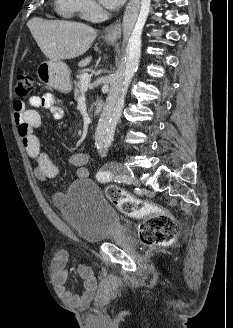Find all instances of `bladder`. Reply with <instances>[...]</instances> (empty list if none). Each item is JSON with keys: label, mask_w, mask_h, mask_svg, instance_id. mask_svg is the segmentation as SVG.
Listing matches in <instances>:
<instances>
[{"label": "bladder", "mask_w": 233, "mask_h": 328, "mask_svg": "<svg viewBox=\"0 0 233 328\" xmlns=\"http://www.w3.org/2000/svg\"><path fill=\"white\" fill-rule=\"evenodd\" d=\"M52 202L63 220L87 242L129 238L117 211L91 180L71 183L65 192L54 195Z\"/></svg>", "instance_id": "31cf9c89"}]
</instances>
